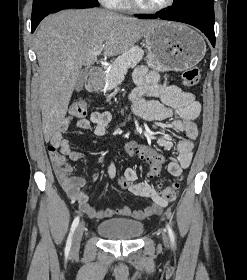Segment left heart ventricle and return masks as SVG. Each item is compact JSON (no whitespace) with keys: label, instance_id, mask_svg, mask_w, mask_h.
<instances>
[{"label":"left heart ventricle","instance_id":"1","mask_svg":"<svg viewBox=\"0 0 247 280\" xmlns=\"http://www.w3.org/2000/svg\"><path fill=\"white\" fill-rule=\"evenodd\" d=\"M142 5L147 7H155L165 3L166 0H138Z\"/></svg>","mask_w":247,"mask_h":280}]
</instances>
